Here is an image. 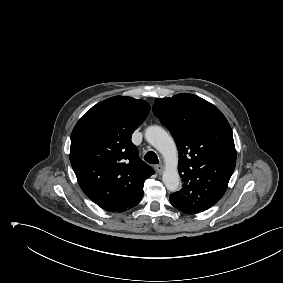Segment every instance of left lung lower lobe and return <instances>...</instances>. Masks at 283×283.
<instances>
[{
  "mask_svg": "<svg viewBox=\"0 0 283 283\" xmlns=\"http://www.w3.org/2000/svg\"><path fill=\"white\" fill-rule=\"evenodd\" d=\"M169 199H170V203L172 204L173 207H175L176 209H178L179 211H181L185 214H193V213L199 212L193 206H191L190 204H188L184 200H182L178 197H175L172 194L169 196Z\"/></svg>",
  "mask_w": 283,
  "mask_h": 283,
  "instance_id": "obj_1",
  "label": "left lung lower lobe"
}]
</instances>
